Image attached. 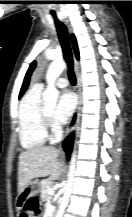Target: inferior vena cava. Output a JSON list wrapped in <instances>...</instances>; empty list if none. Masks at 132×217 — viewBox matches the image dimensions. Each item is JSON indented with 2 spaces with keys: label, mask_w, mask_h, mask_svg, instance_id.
<instances>
[{
  "label": "inferior vena cava",
  "mask_w": 132,
  "mask_h": 217,
  "mask_svg": "<svg viewBox=\"0 0 132 217\" xmlns=\"http://www.w3.org/2000/svg\"><path fill=\"white\" fill-rule=\"evenodd\" d=\"M62 128L60 127L58 130H57V134L61 135L62 134Z\"/></svg>",
  "instance_id": "1"
}]
</instances>
